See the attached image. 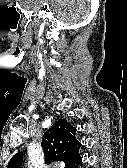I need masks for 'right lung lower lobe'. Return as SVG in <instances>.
<instances>
[{"label": "right lung lower lobe", "instance_id": "right-lung-lower-lobe-1", "mask_svg": "<svg viewBox=\"0 0 127 168\" xmlns=\"http://www.w3.org/2000/svg\"><path fill=\"white\" fill-rule=\"evenodd\" d=\"M81 162V158L72 166V168H78V164Z\"/></svg>", "mask_w": 127, "mask_h": 168}]
</instances>
